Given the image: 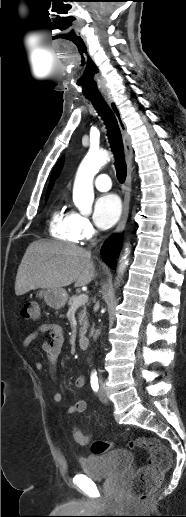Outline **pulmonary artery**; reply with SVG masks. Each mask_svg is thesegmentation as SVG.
<instances>
[{"mask_svg":"<svg viewBox=\"0 0 186 517\" xmlns=\"http://www.w3.org/2000/svg\"><path fill=\"white\" fill-rule=\"evenodd\" d=\"M94 185L99 191H108L111 188V181L108 175L100 174L94 180Z\"/></svg>","mask_w":186,"mask_h":517,"instance_id":"1","label":"pulmonary artery"}]
</instances>
